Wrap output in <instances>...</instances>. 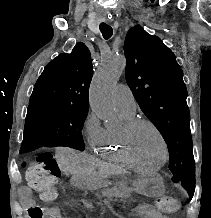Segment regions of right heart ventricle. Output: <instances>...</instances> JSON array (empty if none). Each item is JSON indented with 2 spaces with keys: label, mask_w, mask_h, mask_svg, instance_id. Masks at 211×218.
<instances>
[{
  "label": "right heart ventricle",
  "mask_w": 211,
  "mask_h": 218,
  "mask_svg": "<svg viewBox=\"0 0 211 218\" xmlns=\"http://www.w3.org/2000/svg\"><path fill=\"white\" fill-rule=\"evenodd\" d=\"M120 111L126 122L134 118V114L122 110ZM95 147L94 154H100L104 158L116 161L117 165L127 163L125 164V169H134V164H130L132 162L123 148L120 130L105 129Z\"/></svg>",
  "instance_id": "obj_1"
}]
</instances>
